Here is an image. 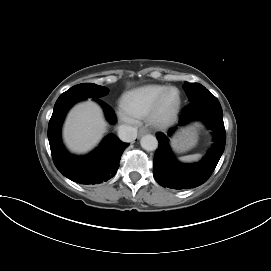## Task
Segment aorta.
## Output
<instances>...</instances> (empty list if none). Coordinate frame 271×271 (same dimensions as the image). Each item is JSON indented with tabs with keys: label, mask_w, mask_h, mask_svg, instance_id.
Masks as SVG:
<instances>
[{
	"label": "aorta",
	"mask_w": 271,
	"mask_h": 271,
	"mask_svg": "<svg viewBox=\"0 0 271 271\" xmlns=\"http://www.w3.org/2000/svg\"><path fill=\"white\" fill-rule=\"evenodd\" d=\"M140 144L147 151H154L158 148V140L151 134L144 135L140 140Z\"/></svg>",
	"instance_id": "aorta-1"
}]
</instances>
